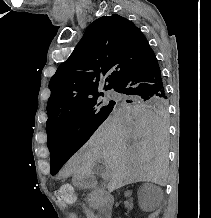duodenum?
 Listing matches in <instances>:
<instances>
[{
  "instance_id": "duodenum-1",
  "label": "duodenum",
  "mask_w": 211,
  "mask_h": 218,
  "mask_svg": "<svg viewBox=\"0 0 211 218\" xmlns=\"http://www.w3.org/2000/svg\"><path fill=\"white\" fill-rule=\"evenodd\" d=\"M81 181L86 187H95L97 185L96 178L90 173H83L81 176ZM113 198L111 196H106L103 200L100 214L101 218H111L112 208H113Z\"/></svg>"
}]
</instances>
